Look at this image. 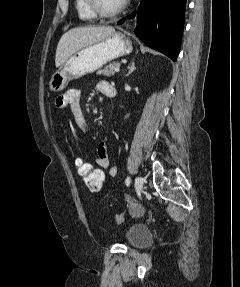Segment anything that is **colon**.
I'll list each match as a JSON object with an SVG mask.
<instances>
[{"mask_svg": "<svg viewBox=\"0 0 240 287\" xmlns=\"http://www.w3.org/2000/svg\"><path fill=\"white\" fill-rule=\"evenodd\" d=\"M72 158L77 173L87 188L92 192L100 191L105 179L104 172L85 157L78 155L75 151L72 152ZM113 220L115 223L120 224L124 218L121 214H117L113 217Z\"/></svg>", "mask_w": 240, "mask_h": 287, "instance_id": "5ec220e1", "label": "colon"}]
</instances>
